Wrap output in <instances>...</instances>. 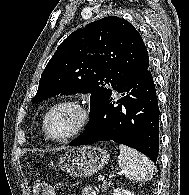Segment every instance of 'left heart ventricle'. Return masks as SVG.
Returning <instances> with one entry per match:
<instances>
[{"label": "left heart ventricle", "mask_w": 189, "mask_h": 195, "mask_svg": "<svg viewBox=\"0 0 189 195\" xmlns=\"http://www.w3.org/2000/svg\"><path fill=\"white\" fill-rule=\"evenodd\" d=\"M80 119L81 114L74 106L65 105L59 107L49 117V132L54 137L66 136L77 127Z\"/></svg>", "instance_id": "obj_1"}]
</instances>
